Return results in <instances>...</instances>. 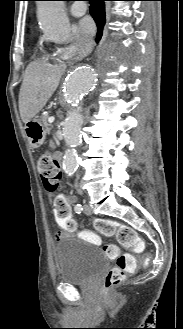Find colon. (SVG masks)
Instances as JSON below:
<instances>
[{
  "instance_id": "colon-1",
  "label": "colon",
  "mask_w": 183,
  "mask_h": 329,
  "mask_svg": "<svg viewBox=\"0 0 183 329\" xmlns=\"http://www.w3.org/2000/svg\"><path fill=\"white\" fill-rule=\"evenodd\" d=\"M37 168L46 190L49 192L55 191L62 177L57 159L49 153H43L38 160ZM94 224L102 236H115L122 246L134 251L144 250V242L138 238L132 228L108 219H97ZM105 252L109 257L116 258L115 266L108 271L104 280V286L109 290L120 285L128 274L136 270L137 261L131 253L119 255L114 245L106 246Z\"/></svg>"
}]
</instances>
